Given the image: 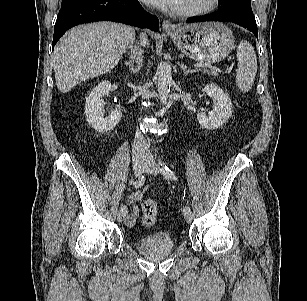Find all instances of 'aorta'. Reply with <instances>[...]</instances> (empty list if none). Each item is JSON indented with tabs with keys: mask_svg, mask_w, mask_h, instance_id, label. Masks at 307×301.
I'll list each match as a JSON object with an SVG mask.
<instances>
[{
	"mask_svg": "<svg viewBox=\"0 0 307 301\" xmlns=\"http://www.w3.org/2000/svg\"><path fill=\"white\" fill-rule=\"evenodd\" d=\"M156 79L158 82L159 99L162 104H166L170 87L173 83L171 66L168 62H160L157 71Z\"/></svg>",
	"mask_w": 307,
	"mask_h": 301,
	"instance_id": "1",
	"label": "aorta"
}]
</instances>
